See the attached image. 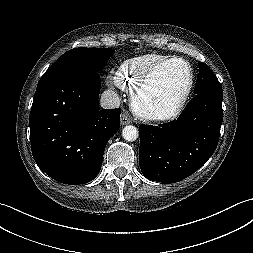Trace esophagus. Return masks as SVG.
<instances>
[{"mask_svg":"<svg viewBox=\"0 0 253 253\" xmlns=\"http://www.w3.org/2000/svg\"><path fill=\"white\" fill-rule=\"evenodd\" d=\"M129 123H131L130 117H129L126 113H123V114L121 115V124H122V125H127V124H129Z\"/></svg>","mask_w":253,"mask_h":253,"instance_id":"34e87169","label":"esophagus"}]
</instances>
